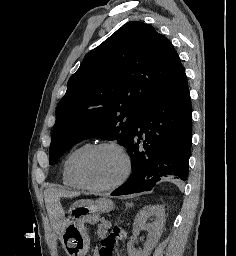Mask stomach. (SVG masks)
Masks as SVG:
<instances>
[{"label": "stomach", "instance_id": "obj_1", "mask_svg": "<svg viewBox=\"0 0 236 256\" xmlns=\"http://www.w3.org/2000/svg\"><path fill=\"white\" fill-rule=\"evenodd\" d=\"M113 203L106 198L78 200L71 206L63 234L68 256H85L89 249V236L85 224L97 223L101 213L111 211Z\"/></svg>", "mask_w": 236, "mask_h": 256}]
</instances>
